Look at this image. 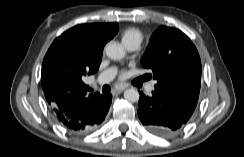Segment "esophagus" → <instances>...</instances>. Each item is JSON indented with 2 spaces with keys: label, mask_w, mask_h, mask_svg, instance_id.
I'll return each mask as SVG.
<instances>
[{
  "label": "esophagus",
  "mask_w": 244,
  "mask_h": 157,
  "mask_svg": "<svg viewBox=\"0 0 244 157\" xmlns=\"http://www.w3.org/2000/svg\"><path fill=\"white\" fill-rule=\"evenodd\" d=\"M125 89H126V86L121 85V86L113 89L111 93H112V95L116 96V95L120 94L122 91H124Z\"/></svg>",
  "instance_id": "esophagus-1"
}]
</instances>
